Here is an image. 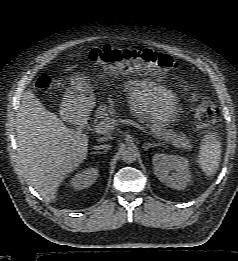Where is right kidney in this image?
Masks as SVG:
<instances>
[{
	"instance_id": "obj_1",
	"label": "right kidney",
	"mask_w": 238,
	"mask_h": 261,
	"mask_svg": "<svg viewBox=\"0 0 238 261\" xmlns=\"http://www.w3.org/2000/svg\"><path fill=\"white\" fill-rule=\"evenodd\" d=\"M99 176L96 168H86L77 173L71 180V186L76 190L90 187Z\"/></svg>"
}]
</instances>
